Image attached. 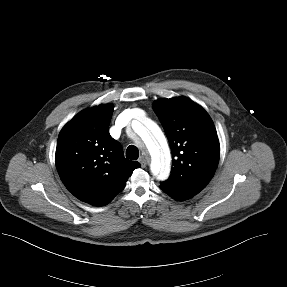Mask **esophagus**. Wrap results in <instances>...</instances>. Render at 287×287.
Returning <instances> with one entry per match:
<instances>
[{
	"instance_id": "34e87169",
	"label": "esophagus",
	"mask_w": 287,
	"mask_h": 287,
	"mask_svg": "<svg viewBox=\"0 0 287 287\" xmlns=\"http://www.w3.org/2000/svg\"><path fill=\"white\" fill-rule=\"evenodd\" d=\"M139 162L142 168H145L147 165V160L144 157H140Z\"/></svg>"
}]
</instances>
